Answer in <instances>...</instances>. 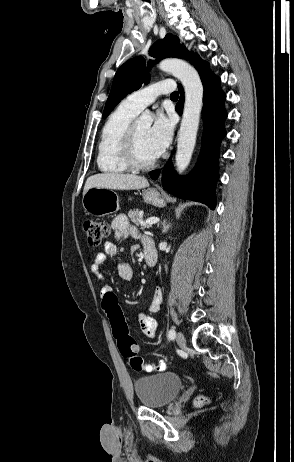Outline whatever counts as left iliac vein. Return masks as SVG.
<instances>
[{
  "label": "left iliac vein",
  "instance_id": "obj_1",
  "mask_svg": "<svg viewBox=\"0 0 294 462\" xmlns=\"http://www.w3.org/2000/svg\"><path fill=\"white\" fill-rule=\"evenodd\" d=\"M176 342L180 347H184L186 345V340L182 332H178L176 335Z\"/></svg>",
  "mask_w": 294,
  "mask_h": 462
}]
</instances>
